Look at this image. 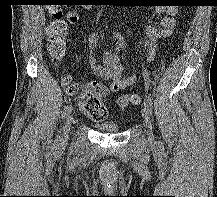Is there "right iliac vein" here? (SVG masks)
<instances>
[{
  "label": "right iliac vein",
  "mask_w": 217,
  "mask_h": 197,
  "mask_svg": "<svg viewBox=\"0 0 217 197\" xmlns=\"http://www.w3.org/2000/svg\"><path fill=\"white\" fill-rule=\"evenodd\" d=\"M74 122V118L71 114H69L67 116V119L65 121V124H64V127H63V134H62V137L61 139L59 140V145L60 146H64L67 144L68 142V138H69V132H70V128L72 126Z\"/></svg>",
  "instance_id": "obj_1"
}]
</instances>
